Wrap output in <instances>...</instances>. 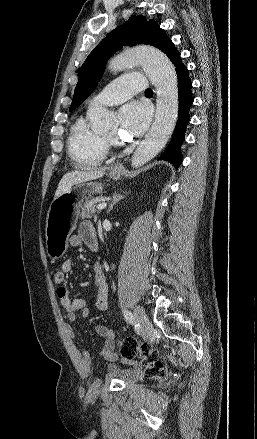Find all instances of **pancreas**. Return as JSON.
Wrapping results in <instances>:
<instances>
[{
  "instance_id": "pancreas-1",
  "label": "pancreas",
  "mask_w": 257,
  "mask_h": 439,
  "mask_svg": "<svg viewBox=\"0 0 257 439\" xmlns=\"http://www.w3.org/2000/svg\"><path fill=\"white\" fill-rule=\"evenodd\" d=\"M103 197H96L92 198L90 200H86L83 206L81 207V211L79 212L80 219L85 218H91L93 216H96V212H98L95 209V206L98 202L102 201Z\"/></svg>"
}]
</instances>
